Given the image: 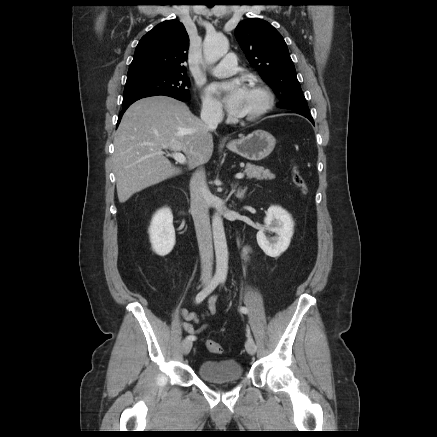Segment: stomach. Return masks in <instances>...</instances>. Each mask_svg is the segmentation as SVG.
I'll return each instance as SVG.
<instances>
[{
  "label": "stomach",
  "mask_w": 437,
  "mask_h": 437,
  "mask_svg": "<svg viewBox=\"0 0 437 437\" xmlns=\"http://www.w3.org/2000/svg\"><path fill=\"white\" fill-rule=\"evenodd\" d=\"M276 140L274 136L264 130H255L247 136L232 140L227 148L250 161H260L274 150Z\"/></svg>",
  "instance_id": "1"
}]
</instances>
